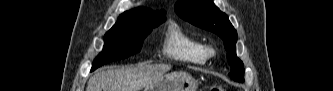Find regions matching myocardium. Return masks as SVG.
<instances>
[{
  "label": "myocardium",
  "mask_w": 333,
  "mask_h": 91,
  "mask_svg": "<svg viewBox=\"0 0 333 91\" xmlns=\"http://www.w3.org/2000/svg\"><path fill=\"white\" fill-rule=\"evenodd\" d=\"M207 56H212L215 53V49L213 47H210L206 49Z\"/></svg>",
  "instance_id": "myocardium-1"
}]
</instances>
